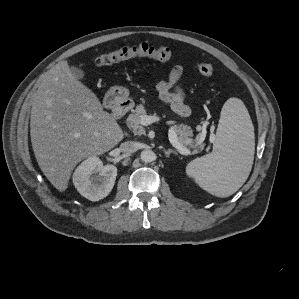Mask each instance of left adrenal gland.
<instances>
[{
    "label": "left adrenal gland",
    "instance_id": "1",
    "mask_svg": "<svg viewBox=\"0 0 299 299\" xmlns=\"http://www.w3.org/2000/svg\"><path fill=\"white\" fill-rule=\"evenodd\" d=\"M163 151H164L166 157H168V158L170 157V154H171V153H173L174 155H177V152H175V151L172 150V149H168V150H167V149L164 148Z\"/></svg>",
    "mask_w": 299,
    "mask_h": 299
}]
</instances>
